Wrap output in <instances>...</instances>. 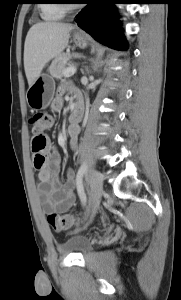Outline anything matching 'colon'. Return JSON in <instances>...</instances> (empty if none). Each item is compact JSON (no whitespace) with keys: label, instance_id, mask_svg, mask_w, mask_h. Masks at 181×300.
<instances>
[{"label":"colon","instance_id":"1","mask_svg":"<svg viewBox=\"0 0 181 300\" xmlns=\"http://www.w3.org/2000/svg\"><path fill=\"white\" fill-rule=\"evenodd\" d=\"M29 124L32 134V152L36 155H40V157L36 159L37 164L40 165L44 161L42 153L48 144L45 132L53 126V117L46 113H35L29 119ZM48 222L54 230L62 231L75 226L79 220L73 215L51 213L48 216Z\"/></svg>","mask_w":181,"mask_h":300}]
</instances>
